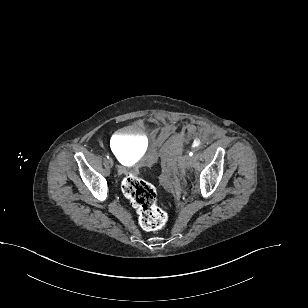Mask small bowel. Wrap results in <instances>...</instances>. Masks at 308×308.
<instances>
[{"instance_id": "c3829d8e", "label": "small bowel", "mask_w": 308, "mask_h": 308, "mask_svg": "<svg viewBox=\"0 0 308 308\" xmlns=\"http://www.w3.org/2000/svg\"><path fill=\"white\" fill-rule=\"evenodd\" d=\"M188 129H189V130H193V127L189 125V126H188Z\"/></svg>"}]
</instances>
